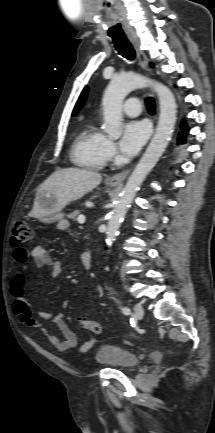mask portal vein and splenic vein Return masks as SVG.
I'll list each match as a JSON object with an SVG mask.
<instances>
[{
    "instance_id": "18ae733b",
    "label": "portal vein and splenic vein",
    "mask_w": 215,
    "mask_h": 433,
    "mask_svg": "<svg viewBox=\"0 0 215 433\" xmlns=\"http://www.w3.org/2000/svg\"><path fill=\"white\" fill-rule=\"evenodd\" d=\"M77 221L79 224H84L85 223V216L84 215H79L77 218Z\"/></svg>"
}]
</instances>
